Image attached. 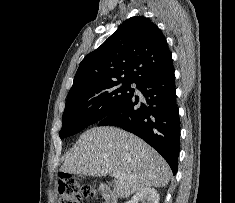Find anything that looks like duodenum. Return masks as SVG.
<instances>
[{"instance_id":"1","label":"duodenum","mask_w":235,"mask_h":203,"mask_svg":"<svg viewBox=\"0 0 235 203\" xmlns=\"http://www.w3.org/2000/svg\"><path fill=\"white\" fill-rule=\"evenodd\" d=\"M99 189L104 203H117V197L109 186L101 184Z\"/></svg>"}]
</instances>
